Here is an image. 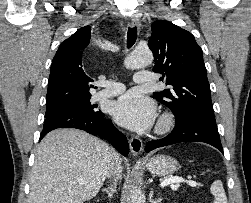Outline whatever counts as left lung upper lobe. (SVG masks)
Instances as JSON below:
<instances>
[{"label":"left lung upper lobe","mask_w":251,"mask_h":203,"mask_svg":"<svg viewBox=\"0 0 251 203\" xmlns=\"http://www.w3.org/2000/svg\"><path fill=\"white\" fill-rule=\"evenodd\" d=\"M149 48L153 52V71L161 73L168 88L154 97L174 114L176 123L191 117L215 121L210 86L202 49L193 35L166 20L151 25Z\"/></svg>","instance_id":"left-lung-upper-lobe-1"}]
</instances>
